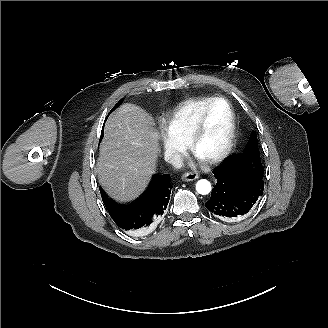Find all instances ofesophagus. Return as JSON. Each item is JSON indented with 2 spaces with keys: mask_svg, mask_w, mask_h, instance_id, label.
<instances>
[{
  "mask_svg": "<svg viewBox=\"0 0 328 328\" xmlns=\"http://www.w3.org/2000/svg\"><path fill=\"white\" fill-rule=\"evenodd\" d=\"M198 178H199V175L196 173H192V172L185 173L181 176V180L186 181V182L193 181Z\"/></svg>",
  "mask_w": 328,
  "mask_h": 328,
  "instance_id": "1",
  "label": "esophagus"
}]
</instances>
